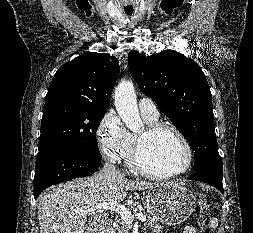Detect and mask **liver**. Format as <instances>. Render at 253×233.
<instances>
[{
    "label": "liver",
    "instance_id": "liver-1",
    "mask_svg": "<svg viewBox=\"0 0 253 233\" xmlns=\"http://www.w3.org/2000/svg\"><path fill=\"white\" fill-rule=\"evenodd\" d=\"M167 183L135 182L125 176L103 174L78 178L65 184L52 186L44 192L38 204L40 233H84L90 209L102 202L118 204L128 191L146 190Z\"/></svg>",
    "mask_w": 253,
    "mask_h": 233
}]
</instances>
